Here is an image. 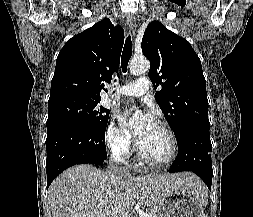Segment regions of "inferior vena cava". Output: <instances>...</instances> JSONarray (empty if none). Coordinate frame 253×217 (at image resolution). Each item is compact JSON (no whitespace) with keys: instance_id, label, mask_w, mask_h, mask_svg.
I'll return each mask as SVG.
<instances>
[{"instance_id":"1","label":"inferior vena cava","mask_w":253,"mask_h":217,"mask_svg":"<svg viewBox=\"0 0 253 217\" xmlns=\"http://www.w3.org/2000/svg\"><path fill=\"white\" fill-rule=\"evenodd\" d=\"M108 171L117 175L121 174L126 176L129 174L128 168L118 166V161L116 159L115 154H112L109 159Z\"/></svg>"}]
</instances>
